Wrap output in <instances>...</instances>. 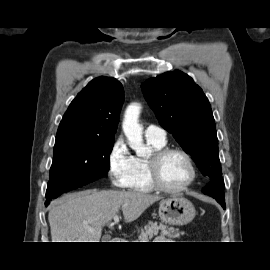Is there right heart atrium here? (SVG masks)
Instances as JSON below:
<instances>
[{
    "label": "right heart atrium",
    "instance_id": "obj_1",
    "mask_svg": "<svg viewBox=\"0 0 270 270\" xmlns=\"http://www.w3.org/2000/svg\"><path fill=\"white\" fill-rule=\"evenodd\" d=\"M108 175L112 184L118 188H129L133 170L134 157L123 138L112 144L107 156Z\"/></svg>",
    "mask_w": 270,
    "mask_h": 270
}]
</instances>
